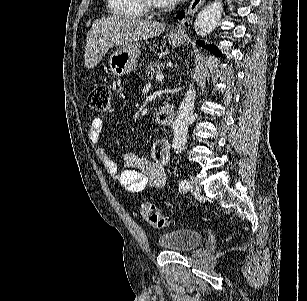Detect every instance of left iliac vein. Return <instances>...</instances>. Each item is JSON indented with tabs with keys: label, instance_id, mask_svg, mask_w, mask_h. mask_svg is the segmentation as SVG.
<instances>
[{
	"label": "left iliac vein",
	"instance_id": "4c4485c4",
	"mask_svg": "<svg viewBox=\"0 0 307 301\" xmlns=\"http://www.w3.org/2000/svg\"><path fill=\"white\" fill-rule=\"evenodd\" d=\"M189 188H190V191L193 195H199L200 192H201V187L198 184L197 180L194 179V178H192V183H191V186Z\"/></svg>",
	"mask_w": 307,
	"mask_h": 301
}]
</instances>
